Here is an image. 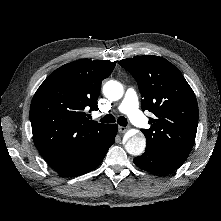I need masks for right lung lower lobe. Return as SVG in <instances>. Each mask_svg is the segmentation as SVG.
I'll list each match as a JSON object with an SVG mask.
<instances>
[{
  "label": "right lung lower lobe",
  "mask_w": 221,
  "mask_h": 221,
  "mask_svg": "<svg viewBox=\"0 0 221 221\" xmlns=\"http://www.w3.org/2000/svg\"><path fill=\"white\" fill-rule=\"evenodd\" d=\"M117 131L118 126L116 124L109 125L105 139L97 149L79 159L53 169L60 175L68 177L82 175L92 171L103 161L108 149L115 141Z\"/></svg>",
  "instance_id": "1"
}]
</instances>
